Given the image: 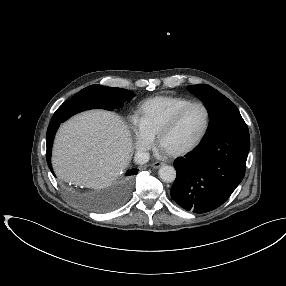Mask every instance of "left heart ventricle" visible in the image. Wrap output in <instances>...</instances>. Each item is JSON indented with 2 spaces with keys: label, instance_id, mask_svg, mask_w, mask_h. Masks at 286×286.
<instances>
[{
  "label": "left heart ventricle",
  "instance_id": "1",
  "mask_svg": "<svg viewBox=\"0 0 286 286\" xmlns=\"http://www.w3.org/2000/svg\"><path fill=\"white\" fill-rule=\"evenodd\" d=\"M205 112L202 107L190 108L163 138L165 151H177L190 146L201 134L205 125Z\"/></svg>",
  "mask_w": 286,
  "mask_h": 286
}]
</instances>
